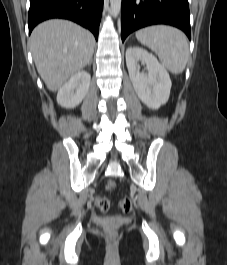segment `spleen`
<instances>
[{"mask_svg": "<svg viewBox=\"0 0 227 265\" xmlns=\"http://www.w3.org/2000/svg\"><path fill=\"white\" fill-rule=\"evenodd\" d=\"M136 38L154 51L171 73L180 74L184 71L190 54L187 38L181 30L154 25L138 30Z\"/></svg>", "mask_w": 227, "mask_h": 265, "instance_id": "obj_1", "label": "spleen"}]
</instances>
